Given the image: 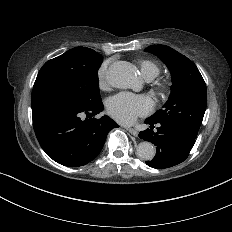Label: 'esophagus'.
Here are the masks:
<instances>
[{
	"label": "esophagus",
	"instance_id": "obj_1",
	"mask_svg": "<svg viewBox=\"0 0 232 232\" xmlns=\"http://www.w3.org/2000/svg\"><path fill=\"white\" fill-rule=\"evenodd\" d=\"M133 136H138V132L134 128H126Z\"/></svg>",
	"mask_w": 232,
	"mask_h": 232
}]
</instances>
